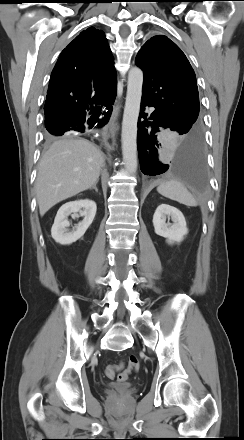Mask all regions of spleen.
I'll return each mask as SVG.
<instances>
[{"label":"spleen","instance_id":"obj_1","mask_svg":"<svg viewBox=\"0 0 244 440\" xmlns=\"http://www.w3.org/2000/svg\"><path fill=\"white\" fill-rule=\"evenodd\" d=\"M158 193L171 200L177 201L186 206L195 207L197 201L193 195L177 180H169L160 183L157 187Z\"/></svg>","mask_w":244,"mask_h":440}]
</instances>
